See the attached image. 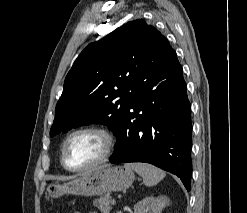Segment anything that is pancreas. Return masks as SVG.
<instances>
[{
	"mask_svg": "<svg viewBox=\"0 0 247 213\" xmlns=\"http://www.w3.org/2000/svg\"><path fill=\"white\" fill-rule=\"evenodd\" d=\"M111 200L112 197L110 196V194H105L100 198L95 199L93 203L103 213H109V211L112 209Z\"/></svg>",
	"mask_w": 247,
	"mask_h": 213,
	"instance_id": "1",
	"label": "pancreas"
}]
</instances>
